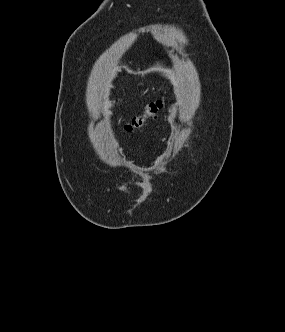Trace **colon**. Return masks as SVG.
Here are the masks:
<instances>
[{
    "instance_id": "colon-1",
    "label": "colon",
    "mask_w": 285,
    "mask_h": 332,
    "mask_svg": "<svg viewBox=\"0 0 285 332\" xmlns=\"http://www.w3.org/2000/svg\"><path fill=\"white\" fill-rule=\"evenodd\" d=\"M162 108L161 102H154L149 104L141 115L133 117L126 125L125 131L134 132L142 129L148 120L157 117L160 109Z\"/></svg>"
}]
</instances>
